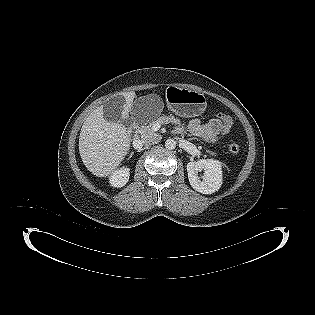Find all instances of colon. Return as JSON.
Masks as SVG:
<instances>
[{"label":"colon","mask_w":315,"mask_h":315,"mask_svg":"<svg viewBox=\"0 0 315 315\" xmlns=\"http://www.w3.org/2000/svg\"><path fill=\"white\" fill-rule=\"evenodd\" d=\"M212 116L214 119L220 120V122L224 124L221 128V131L225 135L231 134L233 131V128L236 127L238 124V121L236 118L231 117L227 113H222V111L219 109L214 110L212 113ZM228 148H229V151L234 154L239 153L242 150V147L237 143H231Z\"/></svg>","instance_id":"obj_1"}]
</instances>
